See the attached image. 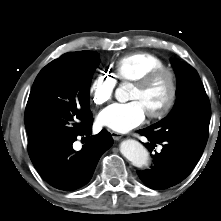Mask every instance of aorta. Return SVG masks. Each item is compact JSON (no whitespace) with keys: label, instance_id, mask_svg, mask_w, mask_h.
I'll list each match as a JSON object with an SVG mask.
<instances>
[{"label":"aorta","instance_id":"1","mask_svg":"<svg viewBox=\"0 0 221 221\" xmlns=\"http://www.w3.org/2000/svg\"><path fill=\"white\" fill-rule=\"evenodd\" d=\"M127 89L128 86L123 85L116 90L115 97L118 101H125L127 99ZM120 152L136 167H144L148 164V151L136 140L127 139L122 141L120 144Z\"/></svg>","mask_w":221,"mask_h":221}]
</instances>
